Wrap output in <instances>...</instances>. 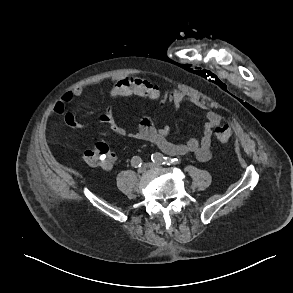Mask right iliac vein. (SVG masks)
Returning <instances> with one entry per match:
<instances>
[{
  "label": "right iliac vein",
  "instance_id": "1",
  "mask_svg": "<svg viewBox=\"0 0 293 293\" xmlns=\"http://www.w3.org/2000/svg\"><path fill=\"white\" fill-rule=\"evenodd\" d=\"M145 170H146L145 167L142 166V167H140V168L138 169V173H140V174H141V173H144Z\"/></svg>",
  "mask_w": 293,
  "mask_h": 293
}]
</instances>
